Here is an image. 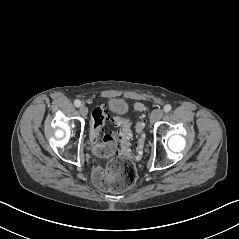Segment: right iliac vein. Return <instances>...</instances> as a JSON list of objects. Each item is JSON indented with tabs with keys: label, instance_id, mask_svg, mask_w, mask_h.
<instances>
[{
	"label": "right iliac vein",
	"instance_id": "63e3f726",
	"mask_svg": "<svg viewBox=\"0 0 239 239\" xmlns=\"http://www.w3.org/2000/svg\"><path fill=\"white\" fill-rule=\"evenodd\" d=\"M79 111L82 116H86L88 114V108L86 106H81Z\"/></svg>",
	"mask_w": 239,
	"mask_h": 239
}]
</instances>
